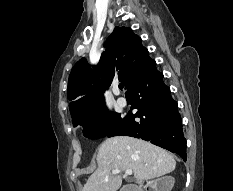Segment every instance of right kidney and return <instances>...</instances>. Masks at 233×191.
Instances as JSON below:
<instances>
[{
    "label": "right kidney",
    "mask_w": 233,
    "mask_h": 191,
    "mask_svg": "<svg viewBox=\"0 0 233 191\" xmlns=\"http://www.w3.org/2000/svg\"><path fill=\"white\" fill-rule=\"evenodd\" d=\"M175 183L172 176H163L158 178L155 182L151 181L150 184L156 191H171Z\"/></svg>",
    "instance_id": "obj_1"
}]
</instances>
